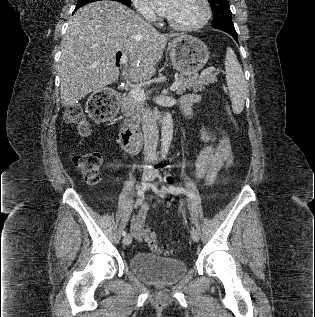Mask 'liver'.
<instances>
[{
  "label": "liver",
  "instance_id": "liver-1",
  "mask_svg": "<svg viewBox=\"0 0 315 317\" xmlns=\"http://www.w3.org/2000/svg\"><path fill=\"white\" fill-rule=\"evenodd\" d=\"M182 35L158 32L133 10L115 1H98L81 7L70 19L61 42L62 106H72L89 93L117 81L118 51L128 58L123 77L131 81L149 80L156 72L168 39Z\"/></svg>",
  "mask_w": 315,
  "mask_h": 317
}]
</instances>
